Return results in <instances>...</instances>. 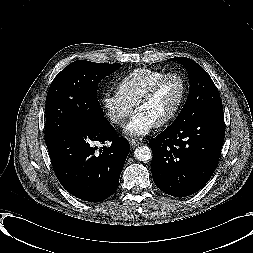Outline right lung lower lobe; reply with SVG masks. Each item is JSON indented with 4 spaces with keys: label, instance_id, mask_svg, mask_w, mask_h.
<instances>
[{
    "label": "right lung lower lobe",
    "instance_id": "98d812e1",
    "mask_svg": "<svg viewBox=\"0 0 253 253\" xmlns=\"http://www.w3.org/2000/svg\"><path fill=\"white\" fill-rule=\"evenodd\" d=\"M105 141L111 145L98 150L95 144ZM46 145L62 186L89 202L103 201L115 193L130 151L127 139L118 137L108 121L76 123Z\"/></svg>",
    "mask_w": 253,
    "mask_h": 253
}]
</instances>
